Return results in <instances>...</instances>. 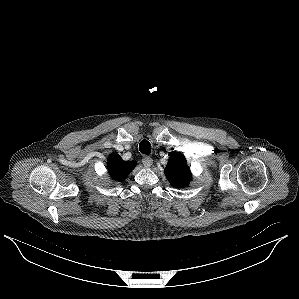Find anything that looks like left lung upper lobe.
<instances>
[{"instance_id":"1","label":"left lung upper lobe","mask_w":299,"mask_h":299,"mask_svg":"<svg viewBox=\"0 0 299 299\" xmlns=\"http://www.w3.org/2000/svg\"><path fill=\"white\" fill-rule=\"evenodd\" d=\"M165 175L171 185L175 187L183 188L188 185L191 180V172L182 154L175 153L169 158Z\"/></svg>"}]
</instances>
